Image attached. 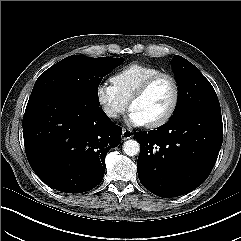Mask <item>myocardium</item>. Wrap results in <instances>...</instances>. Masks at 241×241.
<instances>
[{
    "label": "myocardium",
    "instance_id": "f54148a6",
    "mask_svg": "<svg viewBox=\"0 0 241 241\" xmlns=\"http://www.w3.org/2000/svg\"><path fill=\"white\" fill-rule=\"evenodd\" d=\"M162 78H166L169 79L173 85L174 88V96H173V100L172 103L169 107V109L167 110V112L160 117L159 119L147 123L146 127L148 128H159L163 125H165L166 123H168L171 118L174 116L178 105H179V101H180V85L178 80L176 79L175 76H173L172 74L169 73H165V72H160L157 73L151 77H149L147 80H145L137 89L136 91L132 94V96L130 97L128 103H129V108L131 109L133 103L140 99L141 97H143L148 90L160 79Z\"/></svg>",
    "mask_w": 241,
    "mask_h": 241
}]
</instances>
